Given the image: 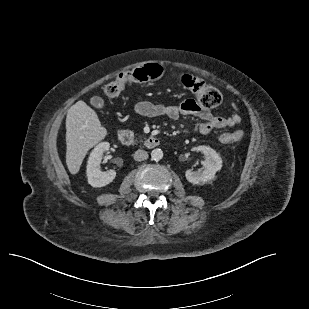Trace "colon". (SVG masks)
Wrapping results in <instances>:
<instances>
[{"instance_id": "5ec220e1", "label": "colon", "mask_w": 309, "mask_h": 309, "mask_svg": "<svg viewBox=\"0 0 309 309\" xmlns=\"http://www.w3.org/2000/svg\"><path fill=\"white\" fill-rule=\"evenodd\" d=\"M163 73V67L159 64H148L140 68L133 69L119 76L115 81L108 83L103 88V94L107 98L117 97L126 86L132 83L148 82L157 79ZM183 84L196 96L198 104L205 108H213L221 104L222 94L220 91L203 81L192 77H183ZM243 137V131L237 130L221 136L224 142H236Z\"/></svg>"}]
</instances>
